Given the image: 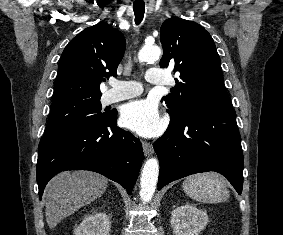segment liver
<instances>
[{
  "label": "liver",
  "instance_id": "liver-1",
  "mask_svg": "<svg viewBox=\"0 0 283 235\" xmlns=\"http://www.w3.org/2000/svg\"><path fill=\"white\" fill-rule=\"evenodd\" d=\"M108 179L90 171H74L55 176L46 189V222L50 229L82 206L101 197Z\"/></svg>",
  "mask_w": 283,
  "mask_h": 235
}]
</instances>
